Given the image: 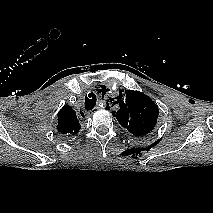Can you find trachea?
<instances>
[{"label": "trachea", "instance_id": "trachea-1", "mask_svg": "<svg viewBox=\"0 0 213 213\" xmlns=\"http://www.w3.org/2000/svg\"><path fill=\"white\" fill-rule=\"evenodd\" d=\"M96 95L94 93H89L85 98V108L87 110H92L96 105Z\"/></svg>", "mask_w": 213, "mask_h": 213}]
</instances>
